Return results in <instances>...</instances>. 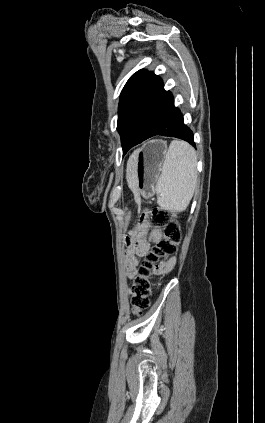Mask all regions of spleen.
I'll return each instance as SVG.
<instances>
[{
  "label": "spleen",
  "instance_id": "3e777b00",
  "mask_svg": "<svg viewBox=\"0 0 265 423\" xmlns=\"http://www.w3.org/2000/svg\"><path fill=\"white\" fill-rule=\"evenodd\" d=\"M196 154L180 140L170 143L156 183L158 205L169 212H182L189 205L197 183Z\"/></svg>",
  "mask_w": 265,
  "mask_h": 423
}]
</instances>
